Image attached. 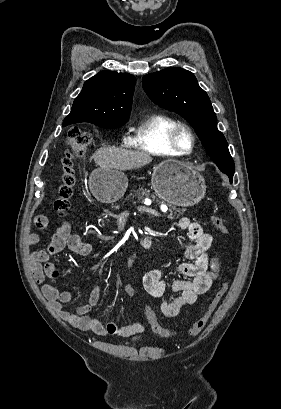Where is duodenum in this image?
Returning <instances> with one entry per match:
<instances>
[{
	"label": "duodenum",
	"mask_w": 281,
	"mask_h": 409,
	"mask_svg": "<svg viewBox=\"0 0 281 409\" xmlns=\"http://www.w3.org/2000/svg\"><path fill=\"white\" fill-rule=\"evenodd\" d=\"M143 246L145 247V248H147V249H149L150 247H151V244H150V240L149 239H143Z\"/></svg>",
	"instance_id": "410a0bca"
}]
</instances>
